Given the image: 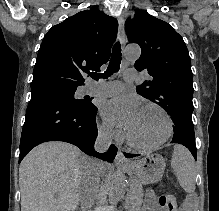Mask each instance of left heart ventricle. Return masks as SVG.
<instances>
[{
    "label": "left heart ventricle",
    "instance_id": "obj_1",
    "mask_svg": "<svg viewBox=\"0 0 219 211\" xmlns=\"http://www.w3.org/2000/svg\"><path fill=\"white\" fill-rule=\"evenodd\" d=\"M165 131L164 115L156 108L147 107L140 109L138 117L128 133L136 142L150 144L160 140Z\"/></svg>",
    "mask_w": 219,
    "mask_h": 211
}]
</instances>
